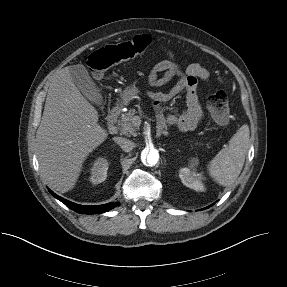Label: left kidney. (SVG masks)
I'll return each instance as SVG.
<instances>
[{
	"mask_svg": "<svg viewBox=\"0 0 287 287\" xmlns=\"http://www.w3.org/2000/svg\"><path fill=\"white\" fill-rule=\"evenodd\" d=\"M197 165H198V160L195 158L191 159L189 163V167H184L180 169L179 177L185 186L195 191L202 192L205 190L204 184L202 183V175L197 174L194 171V168Z\"/></svg>",
	"mask_w": 287,
	"mask_h": 287,
	"instance_id": "left-kidney-1",
	"label": "left kidney"
}]
</instances>
